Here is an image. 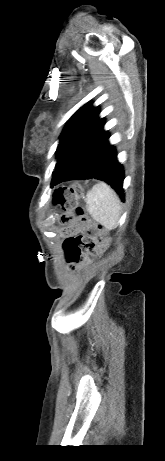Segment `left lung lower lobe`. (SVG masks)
<instances>
[{
	"label": "left lung lower lobe",
	"mask_w": 165,
	"mask_h": 461,
	"mask_svg": "<svg viewBox=\"0 0 165 461\" xmlns=\"http://www.w3.org/2000/svg\"><path fill=\"white\" fill-rule=\"evenodd\" d=\"M103 126L104 119H100L61 160L53 173L52 187L67 180L95 178L111 185L124 200L123 167Z\"/></svg>",
	"instance_id": "left-lung-lower-lobe-1"
}]
</instances>
